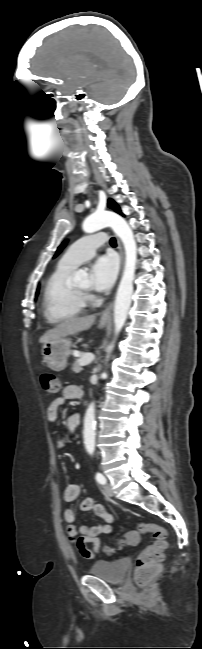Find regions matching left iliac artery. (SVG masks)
Returning <instances> with one entry per match:
<instances>
[{"label":"left iliac artery","mask_w":202,"mask_h":649,"mask_svg":"<svg viewBox=\"0 0 202 649\" xmlns=\"http://www.w3.org/2000/svg\"><path fill=\"white\" fill-rule=\"evenodd\" d=\"M96 480H97V482H98L99 484H105V483H106V479H105V477H104L103 474L100 473V472H97V473H96Z\"/></svg>","instance_id":"44dca946"}]
</instances>
